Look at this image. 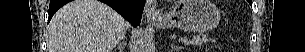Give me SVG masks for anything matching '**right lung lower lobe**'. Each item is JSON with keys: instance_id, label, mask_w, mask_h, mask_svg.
<instances>
[{"instance_id": "right-lung-lower-lobe-1", "label": "right lung lower lobe", "mask_w": 305, "mask_h": 52, "mask_svg": "<svg viewBox=\"0 0 305 52\" xmlns=\"http://www.w3.org/2000/svg\"><path fill=\"white\" fill-rule=\"evenodd\" d=\"M70 0H51L49 6V18L51 20L55 12ZM115 11L120 13L134 27L140 24L141 16L145 5V0H100Z\"/></svg>"}]
</instances>
